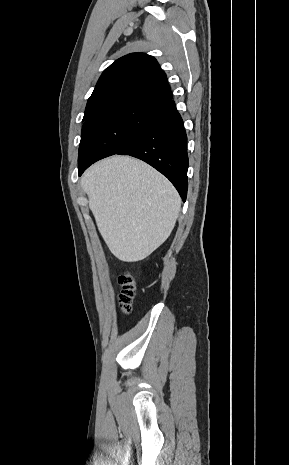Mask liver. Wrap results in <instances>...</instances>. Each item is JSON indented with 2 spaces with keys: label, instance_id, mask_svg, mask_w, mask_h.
<instances>
[{
  "label": "liver",
  "instance_id": "6515ba94",
  "mask_svg": "<svg viewBox=\"0 0 289 465\" xmlns=\"http://www.w3.org/2000/svg\"><path fill=\"white\" fill-rule=\"evenodd\" d=\"M98 230L123 262L149 256L170 236L181 199L150 165L115 155L89 167L81 178Z\"/></svg>",
  "mask_w": 289,
  "mask_h": 465
}]
</instances>
